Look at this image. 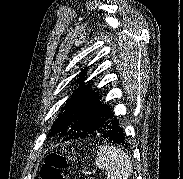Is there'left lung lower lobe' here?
<instances>
[{
	"label": "left lung lower lobe",
	"instance_id": "obj_1",
	"mask_svg": "<svg viewBox=\"0 0 183 179\" xmlns=\"http://www.w3.org/2000/svg\"><path fill=\"white\" fill-rule=\"evenodd\" d=\"M87 137H97L108 141H113L117 144L127 145L123 128L121 127L117 117H114L113 114L103 124V126Z\"/></svg>",
	"mask_w": 183,
	"mask_h": 179
}]
</instances>
